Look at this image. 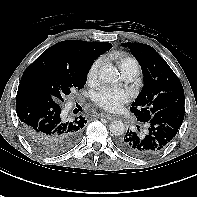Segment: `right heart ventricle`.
I'll list each match as a JSON object with an SVG mask.
<instances>
[{
  "label": "right heart ventricle",
  "instance_id": "obj_1",
  "mask_svg": "<svg viewBox=\"0 0 197 197\" xmlns=\"http://www.w3.org/2000/svg\"><path fill=\"white\" fill-rule=\"evenodd\" d=\"M117 61L122 74L127 72L139 73V63L134 57L126 54H120Z\"/></svg>",
  "mask_w": 197,
  "mask_h": 197
}]
</instances>
